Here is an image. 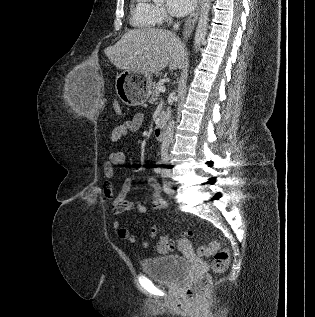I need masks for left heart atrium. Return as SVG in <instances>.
Wrapping results in <instances>:
<instances>
[{"label":"left heart atrium","instance_id":"left-heart-atrium-1","mask_svg":"<svg viewBox=\"0 0 315 317\" xmlns=\"http://www.w3.org/2000/svg\"><path fill=\"white\" fill-rule=\"evenodd\" d=\"M197 0H169L168 5L171 13L184 16L191 12Z\"/></svg>","mask_w":315,"mask_h":317}]
</instances>
